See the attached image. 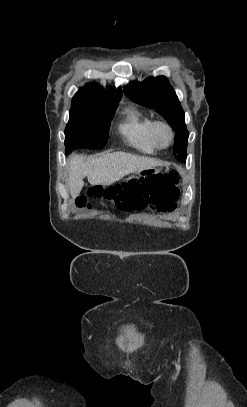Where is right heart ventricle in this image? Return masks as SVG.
Here are the masks:
<instances>
[{
  "instance_id": "obj_1",
  "label": "right heart ventricle",
  "mask_w": 247,
  "mask_h": 407,
  "mask_svg": "<svg viewBox=\"0 0 247 407\" xmlns=\"http://www.w3.org/2000/svg\"><path fill=\"white\" fill-rule=\"evenodd\" d=\"M153 122L149 115L134 108L128 109L120 131L132 147L142 153L153 154L157 151L151 136Z\"/></svg>"
}]
</instances>
